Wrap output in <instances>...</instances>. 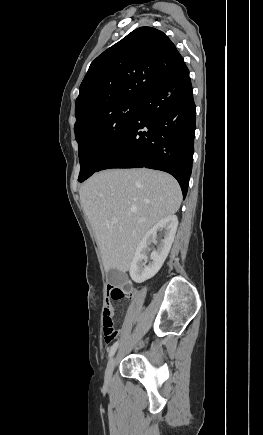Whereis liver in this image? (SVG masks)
Here are the masks:
<instances>
[{
	"mask_svg": "<svg viewBox=\"0 0 263 435\" xmlns=\"http://www.w3.org/2000/svg\"><path fill=\"white\" fill-rule=\"evenodd\" d=\"M79 194L107 272H127L146 232L161 219L175 214L182 200L175 178L144 168L95 173Z\"/></svg>",
	"mask_w": 263,
	"mask_h": 435,
	"instance_id": "6515ba94",
	"label": "liver"
}]
</instances>
